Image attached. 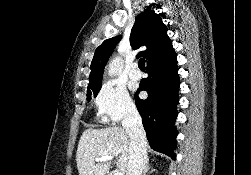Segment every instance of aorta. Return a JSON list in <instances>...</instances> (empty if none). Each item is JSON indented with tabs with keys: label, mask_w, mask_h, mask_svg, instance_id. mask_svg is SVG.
<instances>
[{
	"label": "aorta",
	"mask_w": 251,
	"mask_h": 175,
	"mask_svg": "<svg viewBox=\"0 0 251 175\" xmlns=\"http://www.w3.org/2000/svg\"><path fill=\"white\" fill-rule=\"evenodd\" d=\"M123 64L124 60H122L121 56H117V58H114V60H112V62H110L109 64V76H118V74H121L123 70Z\"/></svg>",
	"instance_id": "762f6f07"
}]
</instances>
